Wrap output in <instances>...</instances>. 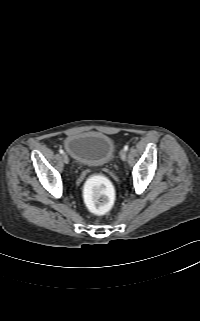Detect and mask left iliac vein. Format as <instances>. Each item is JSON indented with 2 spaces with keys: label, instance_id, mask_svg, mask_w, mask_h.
Segmentation results:
<instances>
[{
  "label": "left iliac vein",
  "instance_id": "1",
  "mask_svg": "<svg viewBox=\"0 0 200 321\" xmlns=\"http://www.w3.org/2000/svg\"><path fill=\"white\" fill-rule=\"evenodd\" d=\"M120 158H121L123 161H125L126 158H127V153H126V151H125L124 149L120 151Z\"/></svg>",
  "mask_w": 200,
  "mask_h": 321
}]
</instances>
